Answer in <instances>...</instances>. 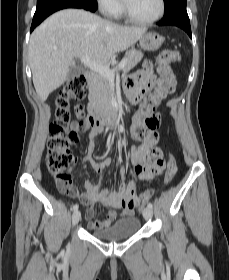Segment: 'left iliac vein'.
Segmentation results:
<instances>
[{
	"instance_id": "4c4485c4",
	"label": "left iliac vein",
	"mask_w": 229,
	"mask_h": 280,
	"mask_svg": "<svg viewBox=\"0 0 229 280\" xmlns=\"http://www.w3.org/2000/svg\"><path fill=\"white\" fill-rule=\"evenodd\" d=\"M142 213H143V217L146 220H149L152 217V209L149 207L144 208Z\"/></svg>"
}]
</instances>
